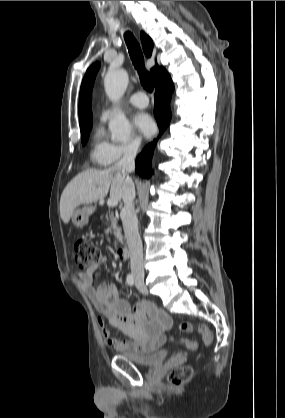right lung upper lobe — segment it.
Returning a JSON list of instances; mask_svg holds the SVG:
<instances>
[{
  "instance_id": "1",
  "label": "right lung upper lobe",
  "mask_w": 285,
  "mask_h": 418,
  "mask_svg": "<svg viewBox=\"0 0 285 418\" xmlns=\"http://www.w3.org/2000/svg\"><path fill=\"white\" fill-rule=\"evenodd\" d=\"M141 42L144 53L147 57L152 55L153 42L149 36L144 32H141ZM100 67V63L96 62L87 70L80 88L79 96V120L80 128H83L91 124L92 113H91V94L92 87L94 84L95 76ZM151 74L154 78L155 86L160 84L166 76L167 71L163 67L155 66L151 69Z\"/></svg>"
}]
</instances>
